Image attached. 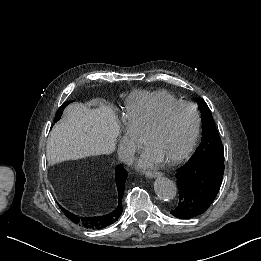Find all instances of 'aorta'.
I'll return each instance as SVG.
<instances>
[{
  "instance_id": "aorta-1",
  "label": "aorta",
  "mask_w": 261,
  "mask_h": 261,
  "mask_svg": "<svg viewBox=\"0 0 261 261\" xmlns=\"http://www.w3.org/2000/svg\"><path fill=\"white\" fill-rule=\"evenodd\" d=\"M154 191L161 200L170 201L176 197L177 187L172 180L159 177L154 182Z\"/></svg>"
}]
</instances>
